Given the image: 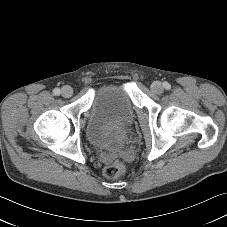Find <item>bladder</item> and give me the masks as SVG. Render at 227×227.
<instances>
[{
  "label": "bladder",
  "mask_w": 227,
  "mask_h": 227,
  "mask_svg": "<svg viewBox=\"0 0 227 227\" xmlns=\"http://www.w3.org/2000/svg\"><path fill=\"white\" fill-rule=\"evenodd\" d=\"M134 120L135 110L126 88L105 84L94 91L86 136L98 149L117 151L124 146Z\"/></svg>",
  "instance_id": "bladder-1"
}]
</instances>
